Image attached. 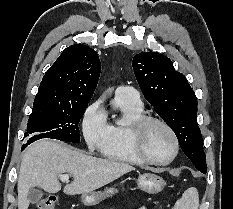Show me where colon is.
Masks as SVG:
<instances>
[{
	"instance_id": "1",
	"label": "colon",
	"mask_w": 233,
	"mask_h": 209,
	"mask_svg": "<svg viewBox=\"0 0 233 209\" xmlns=\"http://www.w3.org/2000/svg\"><path fill=\"white\" fill-rule=\"evenodd\" d=\"M56 205L57 198L55 196H49L40 201L38 209H55Z\"/></svg>"
}]
</instances>
